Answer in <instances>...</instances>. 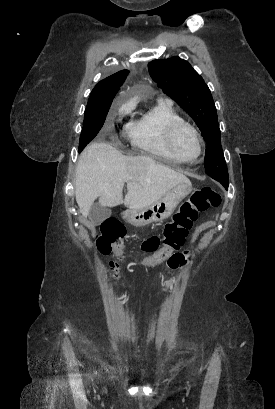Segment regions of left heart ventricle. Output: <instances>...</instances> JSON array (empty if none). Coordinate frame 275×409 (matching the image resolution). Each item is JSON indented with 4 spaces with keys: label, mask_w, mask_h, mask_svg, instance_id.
<instances>
[{
    "label": "left heart ventricle",
    "mask_w": 275,
    "mask_h": 409,
    "mask_svg": "<svg viewBox=\"0 0 275 409\" xmlns=\"http://www.w3.org/2000/svg\"><path fill=\"white\" fill-rule=\"evenodd\" d=\"M175 152L178 157H194L197 153V145L193 134L188 129H183L177 135Z\"/></svg>",
    "instance_id": "left-heart-ventricle-1"
}]
</instances>
